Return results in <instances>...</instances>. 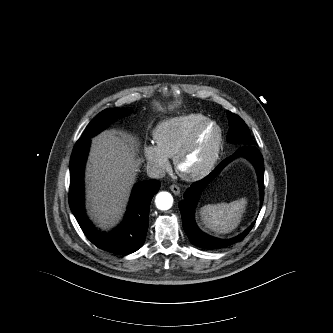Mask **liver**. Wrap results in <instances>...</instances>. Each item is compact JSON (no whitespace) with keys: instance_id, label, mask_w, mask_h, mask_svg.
Returning <instances> with one entry per match:
<instances>
[{"instance_id":"1","label":"liver","mask_w":333,"mask_h":333,"mask_svg":"<svg viewBox=\"0 0 333 333\" xmlns=\"http://www.w3.org/2000/svg\"><path fill=\"white\" fill-rule=\"evenodd\" d=\"M139 165L131 137L106 130L93 138L87 197L89 214L102 228L114 225L123 213Z\"/></svg>"}]
</instances>
